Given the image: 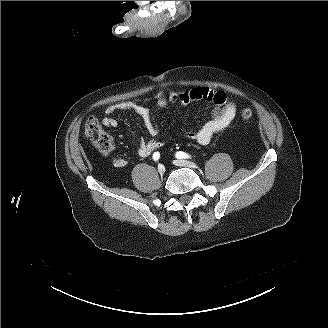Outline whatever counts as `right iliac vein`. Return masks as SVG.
I'll return each mask as SVG.
<instances>
[{"mask_svg": "<svg viewBox=\"0 0 328 328\" xmlns=\"http://www.w3.org/2000/svg\"><path fill=\"white\" fill-rule=\"evenodd\" d=\"M158 172H159L161 175L165 174V172H166V168H165V166L162 165V164H160V165L158 166Z\"/></svg>", "mask_w": 328, "mask_h": 328, "instance_id": "1", "label": "right iliac vein"}]
</instances>
